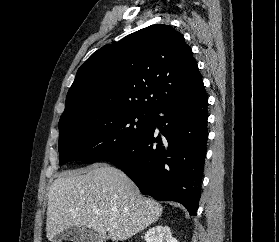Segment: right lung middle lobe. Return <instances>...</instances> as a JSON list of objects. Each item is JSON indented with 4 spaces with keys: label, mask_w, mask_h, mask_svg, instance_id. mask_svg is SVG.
I'll return each mask as SVG.
<instances>
[{
    "label": "right lung middle lobe",
    "mask_w": 279,
    "mask_h": 242,
    "mask_svg": "<svg viewBox=\"0 0 279 242\" xmlns=\"http://www.w3.org/2000/svg\"><path fill=\"white\" fill-rule=\"evenodd\" d=\"M151 112L126 110L94 119H71L59 125V164L73 159L93 163L119 153L148 131Z\"/></svg>",
    "instance_id": "obj_1"
}]
</instances>
